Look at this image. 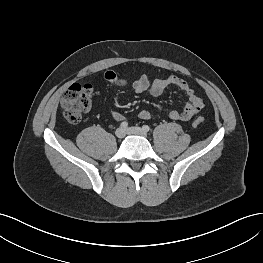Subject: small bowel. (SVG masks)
<instances>
[{
  "instance_id": "1",
  "label": "small bowel",
  "mask_w": 263,
  "mask_h": 263,
  "mask_svg": "<svg viewBox=\"0 0 263 263\" xmlns=\"http://www.w3.org/2000/svg\"><path fill=\"white\" fill-rule=\"evenodd\" d=\"M104 78L113 87H125L129 84L127 79L119 77L111 70L105 72ZM169 86H176L187 96V103L181 111L173 110L169 112L168 118L170 120L188 121L200 112L203 107L201 98L194 93L188 82L180 77L168 75L151 81L147 76H141L132 83V88L136 93H147L152 96L162 95ZM110 116L115 121L125 120V116L119 111H110ZM138 117L142 120H149L151 113L146 109H142L139 111Z\"/></svg>"
}]
</instances>
